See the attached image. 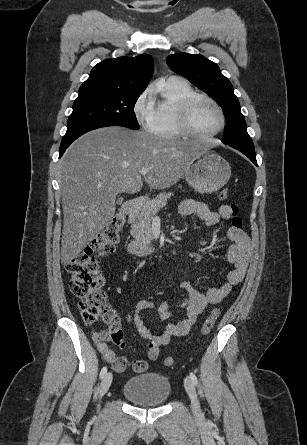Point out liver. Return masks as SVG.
Returning a JSON list of instances; mask_svg holds the SVG:
<instances>
[{
  "label": "liver",
  "instance_id": "6515ba94",
  "mask_svg": "<svg viewBox=\"0 0 307 445\" xmlns=\"http://www.w3.org/2000/svg\"><path fill=\"white\" fill-rule=\"evenodd\" d=\"M200 150L197 140L160 138L123 126L96 128L77 138L61 160L62 265L79 257L108 225L119 192L141 190L140 170L149 168L150 188H169Z\"/></svg>",
  "mask_w": 307,
  "mask_h": 445
}]
</instances>
